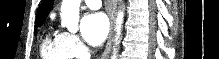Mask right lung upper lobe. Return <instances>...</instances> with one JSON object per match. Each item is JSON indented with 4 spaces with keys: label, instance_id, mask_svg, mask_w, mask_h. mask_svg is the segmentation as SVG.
I'll return each mask as SVG.
<instances>
[{
    "label": "right lung upper lobe",
    "instance_id": "cb5924a9",
    "mask_svg": "<svg viewBox=\"0 0 219 59\" xmlns=\"http://www.w3.org/2000/svg\"><path fill=\"white\" fill-rule=\"evenodd\" d=\"M53 3H54V0H43L41 7L39 8L38 14H37L36 26L43 24L50 10L52 9Z\"/></svg>",
    "mask_w": 219,
    "mask_h": 59
}]
</instances>
